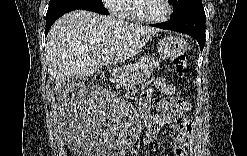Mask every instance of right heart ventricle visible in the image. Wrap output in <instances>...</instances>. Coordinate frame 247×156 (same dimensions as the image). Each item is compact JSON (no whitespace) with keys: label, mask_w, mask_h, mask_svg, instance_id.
I'll return each mask as SVG.
<instances>
[{"label":"right heart ventricle","mask_w":247,"mask_h":156,"mask_svg":"<svg viewBox=\"0 0 247 156\" xmlns=\"http://www.w3.org/2000/svg\"><path fill=\"white\" fill-rule=\"evenodd\" d=\"M121 17H127L128 16V9H127V2H124L122 13L120 14Z\"/></svg>","instance_id":"obj_1"}]
</instances>
